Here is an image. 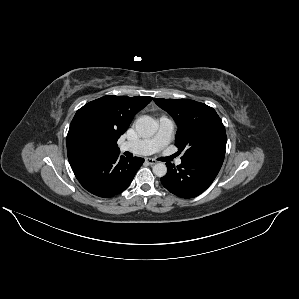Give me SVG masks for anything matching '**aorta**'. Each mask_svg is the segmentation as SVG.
I'll return each instance as SVG.
<instances>
[{"label":"aorta","mask_w":299,"mask_h":299,"mask_svg":"<svg viewBox=\"0 0 299 299\" xmlns=\"http://www.w3.org/2000/svg\"><path fill=\"white\" fill-rule=\"evenodd\" d=\"M136 132L143 138L152 137L157 131V125L153 118L144 115L137 119L135 124ZM153 173L158 177H163L167 173V167L159 162L153 166Z\"/></svg>","instance_id":"1"}]
</instances>
